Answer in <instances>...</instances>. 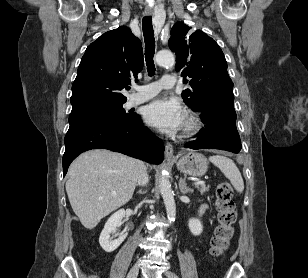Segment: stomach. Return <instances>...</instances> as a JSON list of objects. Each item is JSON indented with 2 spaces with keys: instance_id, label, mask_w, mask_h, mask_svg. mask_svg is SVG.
Masks as SVG:
<instances>
[{
  "instance_id": "obj_1",
  "label": "stomach",
  "mask_w": 308,
  "mask_h": 278,
  "mask_svg": "<svg viewBox=\"0 0 308 278\" xmlns=\"http://www.w3.org/2000/svg\"><path fill=\"white\" fill-rule=\"evenodd\" d=\"M177 168L186 175L200 177L206 173L208 161L203 154L189 152L178 160Z\"/></svg>"
}]
</instances>
